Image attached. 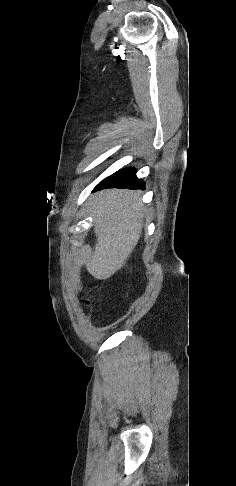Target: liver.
<instances>
[{
  "instance_id": "1",
  "label": "liver",
  "mask_w": 236,
  "mask_h": 486,
  "mask_svg": "<svg viewBox=\"0 0 236 486\" xmlns=\"http://www.w3.org/2000/svg\"><path fill=\"white\" fill-rule=\"evenodd\" d=\"M94 233L97 237L87 271L106 280L121 269L141 236L144 211L140 193L110 189L92 196Z\"/></svg>"
}]
</instances>
